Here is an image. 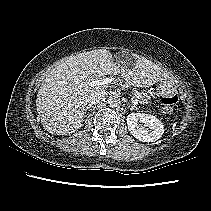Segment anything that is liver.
<instances>
[{"instance_id": "obj_1", "label": "liver", "mask_w": 211, "mask_h": 211, "mask_svg": "<svg viewBox=\"0 0 211 211\" xmlns=\"http://www.w3.org/2000/svg\"><path fill=\"white\" fill-rule=\"evenodd\" d=\"M115 62L110 51L92 50L71 56L53 68L43 80L37 94L36 109L41 123L49 133L70 134L82 126L87 98L106 85L91 83L105 75L121 77L129 85L148 87L170 79L161 67L144 57L126 56ZM136 63L133 69L126 65ZM122 65L120 71L119 66Z\"/></svg>"}]
</instances>
